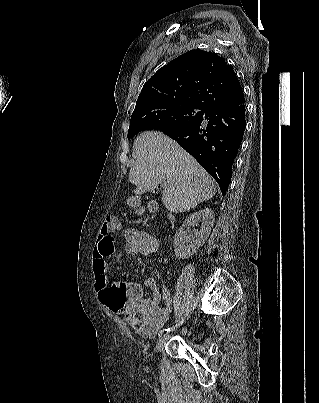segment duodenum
<instances>
[{
  "label": "duodenum",
  "mask_w": 319,
  "mask_h": 403,
  "mask_svg": "<svg viewBox=\"0 0 319 403\" xmlns=\"http://www.w3.org/2000/svg\"><path fill=\"white\" fill-rule=\"evenodd\" d=\"M169 219L170 221H173V216L171 214L169 215Z\"/></svg>",
  "instance_id": "duodenum-1"
}]
</instances>
